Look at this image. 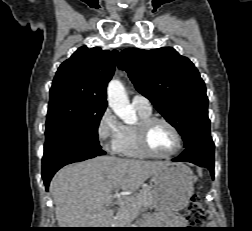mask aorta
<instances>
[{
    "label": "aorta",
    "instance_id": "762f6f07",
    "mask_svg": "<svg viewBox=\"0 0 252 231\" xmlns=\"http://www.w3.org/2000/svg\"><path fill=\"white\" fill-rule=\"evenodd\" d=\"M108 105L114 113L127 124L136 121L135 110L129 103L123 84L119 80H111L107 87Z\"/></svg>",
    "mask_w": 252,
    "mask_h": 231
}]
</instances>
